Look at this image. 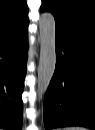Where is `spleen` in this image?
I'll return each instance as SVG.
<instances>
[{
  "instance_id": "3e777b00",
  "label": "spleen",
  "mask_w": 95,
  "mask_h": 130,
  "mask_svg": "<svg viewBox=\"0 0 95 130\" xmlns=\"http://www.w3.org/2000/svg\"><path fill=\"white\" fill-rule=\"evenodd\" d=\"M66 130H86L85 128L82 127H68Z\"/></svg>"
}]
</instances>
